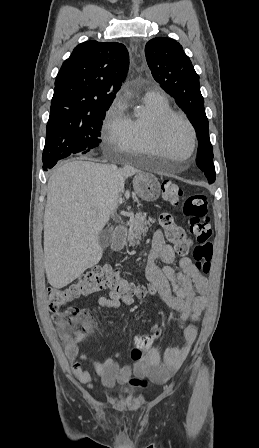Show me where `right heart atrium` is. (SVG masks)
I'll return each mask as SVG.
<instances>
[{
    "label": "right heart atrium",
    "instance_id": "right-heart-atrium-1",
    "mask_svg": "<svg viewBox=\"0 0 259 448\" xmlns=\"http://www.w3.org/2000/svg\"><path fill=\"white\" fill-rule=\"evenodd\" d=\"M121 110V100L116 97L109 107L99 131L100 146L104 150L127 152V134L119 118Z\"/></svg>",
    "mask_w": 259,
    "mask_h": 448
}]
</instances>
